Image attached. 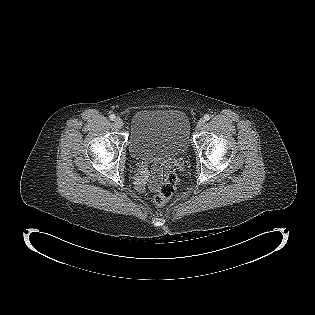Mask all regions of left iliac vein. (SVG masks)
I'll return each mask as SVG.
<instances>
[{
    "label": "left iliac vein",
    "mask_w": 315,
    "mask_h": 315,
    "mask_svg": "<svg viewBox=\"0 0 315 315\" xmlns=\"http://www.w3.org/2000/svg\"><path fill=\"white\" fill-rule=\"evenodd\" d=\"M205 125V120L204 119H200L197 123V129L200 130L202 129V127Z\"/></svg>",
    "instance_id": "4c4485c4"
}]
</instances>
